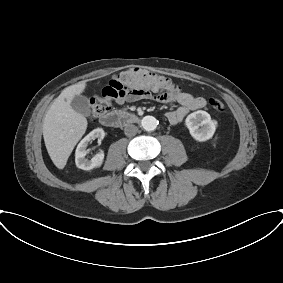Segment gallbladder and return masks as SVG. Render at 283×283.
<instances>
[{
  "label": "gallbladder",
  "instance_id": "gallbladder-1",
  "mask_svg": "<svg viewBox=\"0 0 283 283\" xmlns=\"http://www.w3.org/2000/svg\"><path fill=\"white\" fill-rule=\"evenodd\" d=\"M71 107L73 108L74 111L81 115H89L91 110H90V104L88 101V98L82 95H76L71 101Z\"/></svg>",
  "mask_w": 283,
  "mask_h": 283
}]
</instances>
